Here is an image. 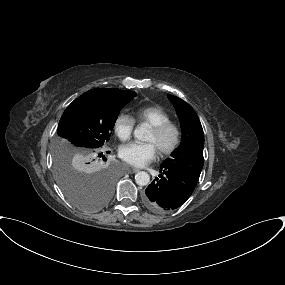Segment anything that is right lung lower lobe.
<instances>
[{
	"label": "right lung lower lobe",
	"mask_w": 285,
	"mask_h": 285,
	"mask_svg": "<svg viewBox=\"0 0 285 285\" xmlns=\"http://www.w3.org/2000/svg\"><path fill=\"white\" fill-rule=\"evenodd\" d=\"M88 167H89L90 171H94V172H98L103 168L102 165H97V163L91 164Z\"/></svg>",
	"instance_id": "right-lung-lower-lobe-1"
}]
</instances>
